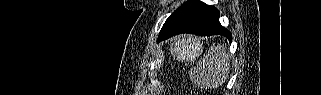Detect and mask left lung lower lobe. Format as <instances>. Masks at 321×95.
I'll list each match as a JSON object with an SVG mask.
<instances>
[{
	"mask_svg": "<svg viewBox=\"0 0 321 95\" xmlns=\"http://www.w3.org/2000/svg\"><path fill=\"white\" fill-rule=\"evenodd\" d=\"M219 16V11L213 6L199 0L187 1L166 20L157 42L181 33L201 36L223 35L231 41L232 35L221 26Z\"/></svg>",
	"mask_w": 321,
	"mask_h": 95,
	"instance_id": "obj_1",
	"label": "left lung lower lobe"
}]
</instances>
